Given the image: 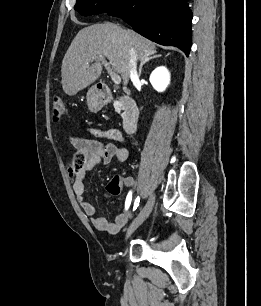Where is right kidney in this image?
Segmentation results:
<instances>
[{"mask_svg":"<svg viewBox=\"0 0 261 306\" xmlns=\"http://www.w3.org/2000/svg\"><path fill=\"white\" fill-rule=\"evenodd\" d=\"M149 80L156 91L162 92L167 88L168 84L170 83V74L165 67H157L151 73Z\"/></svg>","mask_w":261,"mask_h":306,"instance_id":"1","label":"right kidney"}]
</instances>
